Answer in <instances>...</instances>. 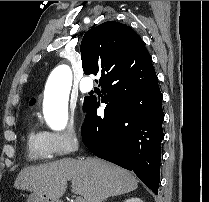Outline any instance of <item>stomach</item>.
<instances>
[{
	"mask_svg": "<svg viewBox=\"0 0 209 202\" xmlns=\"http://www.w3.org/2000/svg\"><path fill=\"white\" fill-rule=\"evenodd\" d=\"M27 202H61L59 199L48 197L44 194L32 192L27 197Z\"/></svg>",
	"mask_w": 209,
	"mask_h": 202,
	"instance_id": "stomach-1",
	"label": "stomach"
}]
</instances>
